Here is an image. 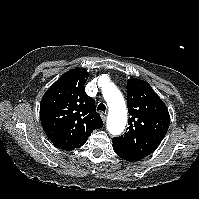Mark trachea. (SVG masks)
I'll use <instances>...</instances> for the list:
<instances>
[{
	"label": "trachea",
	"instance_id": "3493384b",
	"mask_svg": "<svg viewBox=\"0 0 199 199\" xmlns=\"http://www.w3.org/2000/svg\"><path fill=\"white\" fill-rule=\"evenodd\" d=\"M97 110L105 112L106 111V106L103 103H100L98 105V107H97Z\"/></svg>",
	"mask_w": 199,
	"mask_h": 199
}]
</instances>
